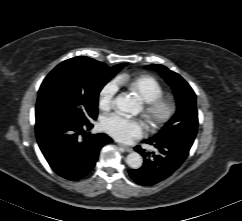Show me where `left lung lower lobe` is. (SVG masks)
<instances>
[{
  "label": "left lung lower lobe",
  "instance_id": "0a47b994",
  "mask_svg": "<svg viewBox=\"0 0 242 221\" xmlns=\"http://www.w3.org/2000/svg\"><path fill=\"white\" fill-rule=\"evenodd\" d=\"M194 140L170 138L165 140H144L143 143L153 145L156 152H145L140 146L135 150L144 157L141 168L130 170V177L143 186L156 184L176 171L187 158Z\"/></svg>",
  "mask_w": 242,
  "mask_h": 221
}]
</instances>
